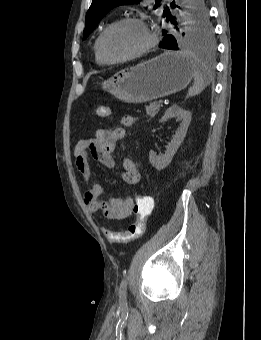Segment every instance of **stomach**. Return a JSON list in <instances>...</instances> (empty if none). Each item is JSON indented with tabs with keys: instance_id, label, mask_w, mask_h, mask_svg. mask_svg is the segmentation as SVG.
Returning a JSON list of instances; mask_svg holds the SVG:
<instances>
[{
	"instance_id": "0dacf381",
	"label": "stomach",
	"mask_w": 261,
	"mask_h": 340,
	"mask_svg": "<svg viewBox=\"0 0 261 340\" xmlns=\"http://www.w3.org/2000/svg\"><path fill=\"white\" fill-rule=\"evenodd\" d=\"M193 61L176 52H165L134 67L123 69L102 88L125 103H144L179 92L193 78Z\"/></svg>"
}]
</instances>
